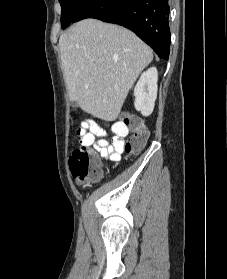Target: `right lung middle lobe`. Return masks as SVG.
Listing matches in <instances>:
<instances>
[{
    "instance_id": "dd1d6c3e",
    "label": "right lung middle lobe",
    "mask_w": 227,
    "mask_h": 279,
    "mask_svg": "<svg viewBox=\"0 0 227 279\" xmlns=\"http://www.w3.org/2000/svg\"><path fill=\"white\" fill-rule=\"evenodd\" d=\"M86 0H59L61 4V26L66 28L71 24Z\"/></svg>"
}]
</instances>
